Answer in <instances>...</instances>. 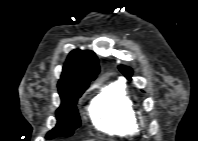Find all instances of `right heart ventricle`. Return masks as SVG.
Masks as SVG:
<instances>
[{"label": "right heart ventricle", "mask_w": 198, "mask_h": 141, "mask_svg": "<svg viewBox=\"0 0 198 141\" xmlns=\"http://www.w3.org/2000/svg\"><path fill=\"white\" fill-rule=\"evenodd\" d=\"M93 125L113 136L132 137L139 132V121L133 102L121 82L101 89L88 108Z\"/></svg>", "instance_id": "right-heart-ventricle-1"}]
</instances>
